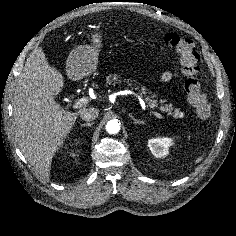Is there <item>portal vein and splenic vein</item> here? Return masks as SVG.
Returning <instances> with one entry per match:
<instances>
[{"instance_id": "obj_1", "label": "portal vein and splenic vein", "mask_w": 236, "mask_h": 236, "mask_svg": "<svg viewBox=\"0 0 236 236\" xmlns=\"http://www.w3.org/2000/svg\"><path fill=\"white\" fill-rule=\"evenodd\" d=\"M90 98L89 97H82L79 100H77L74 104H73V109H78L81 108L83 105L87 104L89 102ZM155 117L159 118V119H163V116L156 112V111H150Z\"/></svg>"}]
</instances>
